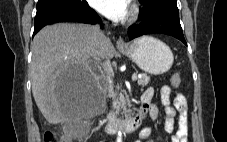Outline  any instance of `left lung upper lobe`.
<instances>
[{
    "mask_svg": "<svg viewBox=\"0 0 227 142\" xmlns=\"http://www.w3.org/2000/svg\"><path fill=\"white\" fill-rule=\"evenodd\" d=\"M144 5V9L139 12V17H143L152 10L161 9L171 13L179 14L176 0H139Z\"/></svg>",
    "mask_w": 227,
    "mask_h": 142,
    "instance_id": "5c2ea615",
    "label": "left lung upper lobe"
}]
</instances>
